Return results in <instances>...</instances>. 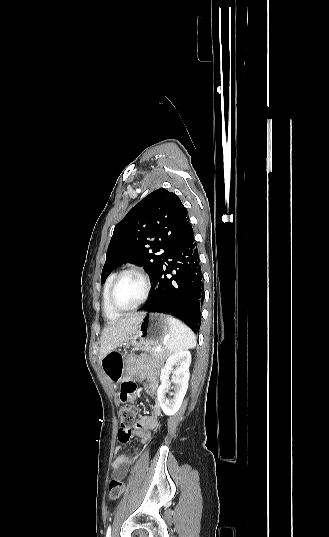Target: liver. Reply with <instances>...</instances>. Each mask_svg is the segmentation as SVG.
Masks as SVG:
<instances>
[{
	"label": "liver",
	"mask_w": 329,
	"mask_h": 537,
	"mask_svg": "<svg viewBox=\"0 0 329 537\" xmlns=\"http://www.w3.org/2000/svg\"><path fill=\"white\" fill-rule=\"evenodd\" d=\"M144 313H136L123 318L119 321H113L103 329L100 338L99 362L111 351L115 350L123 342L129 340L131 334L138 327Z\"/></svg>",
	"instance_id": "liver-1"
}]
</instances>
